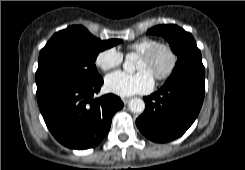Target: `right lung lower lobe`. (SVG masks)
<instances>
[{"label":"right lung lower lobe","instance_id":"1","mask_svg":"<svg viewBox=\"0 0 245 170\" xmlns=\"http://www.w3.org/2000/svg\"><path fill=\"white\" fill-rule=\"evenodd\" d=\"M103 79L81 85H64L37 96L44 121L62 145L88 149L98 145L110 129L112 117L123 107L113 94L94 98Z\"/></svg>","mask_w":245,"mask_h":170}]
</instances>
